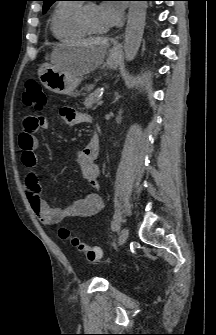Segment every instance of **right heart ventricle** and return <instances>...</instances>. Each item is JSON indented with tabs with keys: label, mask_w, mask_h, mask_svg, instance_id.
Wrapping results in <instances>:
<instances>
[{
	"label": "right heart ventricle",
	"mask_w": 216,
	"mask_h": 335,
	"mask_svg": "<svg viewBox=\"0 0 216 335\" xmlns=\"http://www.w3.org/2000/svg\"><path fill=\"white\" fill-rule=\"evenodd\" d=\"M82 4L63 1L59 3L52 15L51 31L59 40H76L88 35L79 21Z\"/></svg>",
	"instance_id": "e07e8e85"
}]
</instances>
